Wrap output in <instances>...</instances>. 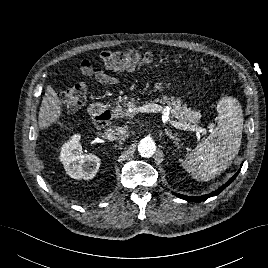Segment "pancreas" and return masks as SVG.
<instances>
[{"label": "pancreas", "mask_w": 268, "mask_h": 268, "mask_svg": "<svg viewBox=\"0 0 268 268\" xmlns=\"http://www.w3.org/2000/svg\"><path fill=\"white\" fill-rule=\"evenodd\" d=\"M162 104H167L170 107L172 117L177 119L183 124L197 125L202 117L200 111H196L188 107L186 104H182L179 98L174 96H163L162 99H157ZM131 104H134V98L124 97L115 102L113 107V113L115 117L131 118L133 114L128 111Z\"/></svg>", "instance_id": "pancreas-1"}]
</instances>
